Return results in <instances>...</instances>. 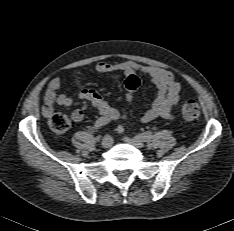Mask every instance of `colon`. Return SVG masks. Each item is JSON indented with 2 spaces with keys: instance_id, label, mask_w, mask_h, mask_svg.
<instances>
[{
  "instance_id": "colon-1",
  "label": "colon",
  "mask_w": 234,
  "mask_h": 231,
  "mask_svg": "<svg viewBox=\"0 0 234 231\" xmlns=\"http://www.w3.org/2000/svg\"><path fill=\"white\" fill-rule=\"evenodd\" d=\"M140 78L135 74H130L125 80V89L128 99L133 97V94L140 86ZM181 112L185 119L196 120L200 116V106L198 102L192 98L182 97ZM49 127L53 132L62 134L68 131L71 127L70 118L64 113H53L48 118Z\"/></svg>"
}]
</instances>
